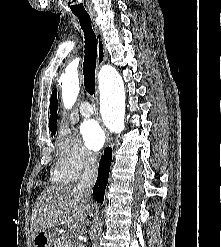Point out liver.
I'll list each match as a JSON object with an SVG mask.
<instances>
[{
    "label": "liver",
    "mask_w": 221,
    "mask_h": 247,
    "mask_svg": "<svg viewBox=\"0 0 221 247\" xmlns=\"http://www.w3.org/2000/svg\"><path fill=\"white\" fill-rule=\"evenodd\" d=\"M92 208L90 199L83 198L75 186H49L38 196L32 210L31 237L62 223L72 233H79L83 231L85 218Z\"/></svg>",
    "instance_id": "obj_1"
}]
</instances>
